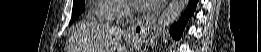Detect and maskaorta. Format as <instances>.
<instances>
[{
	"instance_id": "1",
	"label": "aorta",
	"mask_w": 261,
	"mask_h": 52,
	"mask_svg": "<svg viewBox=\"0 0 261 52\" xmlns=\"http://www.w3.org/2000/svg\"><path fill=\"white\" fill-rule=\"evenodd\" d=\"M188 0H171L154 23V32H160L169 27L186 7Z\"/></svg>"
}]
</instances>
